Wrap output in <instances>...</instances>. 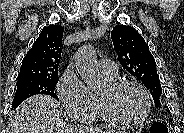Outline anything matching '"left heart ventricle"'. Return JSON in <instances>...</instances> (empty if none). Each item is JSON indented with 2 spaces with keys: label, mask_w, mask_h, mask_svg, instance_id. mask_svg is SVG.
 <instances>
[{
  "label": "left heart ventricle",
  "mask_w": 184,
  "mask_h": 133,
  "mask_svg": "<svg viewBox=\"0 0 184 133\" xmlns=\"http://www.w3.org/2000/svg\"><path fill=\"white\" fill-rule=\"evenodd\" d=\"M100 95L107 96L106 86ZM114 111L122 118L137 119L145 110V100L141 92L134 87H125L109 97Z\"/></svg>",
  "instance_id": "1"
}]
</instances>
